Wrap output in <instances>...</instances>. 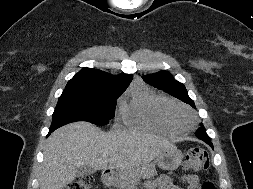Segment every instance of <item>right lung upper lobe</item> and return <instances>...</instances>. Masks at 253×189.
Here are the masks:
<instances>
[{"instance_id": "obj_1", "label": "right lung upper lobe", "mask_w": 253, "mask_h": 189, "mask_svg": "<svg viewBox=\"0 0 253 189\" xmlns=\"http://www.w3.org/2000/svg\"><path fill=\"white\" fill-rule=\"evenodd\" d=\"M133 76L120 74L117 76L98 69L83 68L69 82L64 90H124L129 86Z\"/></svg>"}]
</instances>
